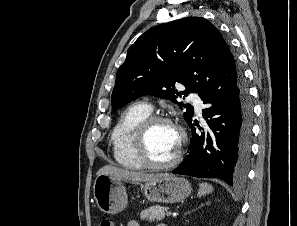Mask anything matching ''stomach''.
<instances>
[{
  "instance_id": "1",
  "label": "stomach",
  "mask_w": 297,
  "mask_h": 226,
  "mask_svg": "<svg viewBox=\"0 0 297 226\" xmlns=\"http://www.w3.org/2000/svg\"><path fill=\"white\" fill-rule=\"evenodd\" d=\"M145 197L151 202L175 203L184 200L192 191L190 183L182 177L167 174L141 185ZM98 208L107 214L123 211L128 203L127 193L121 180L110 175H99L93 186Z\"/></svg>"
}]
</instances>
